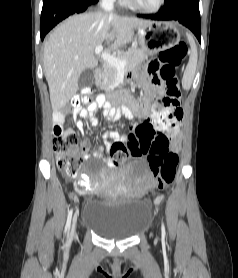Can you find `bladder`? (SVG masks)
<instances>
[{
  "mask_svg": "<svg viewBox=\"0 0 238 278\" xmlns=\"http://www.w3.org/2000/svg\"><path fill=\"white\" fill-rule=\"evenodd\" d=\"M140 199H120L108 202L93 199L84 202L81 211L82 226L106 240H127L145 231L152 220L150 204Z\"/></svg>",
  "mask_w": 238,
  "mask_h": 278,
  "instance_id": "bladder-1",
  "label": "bladder"
}]
</instances>
